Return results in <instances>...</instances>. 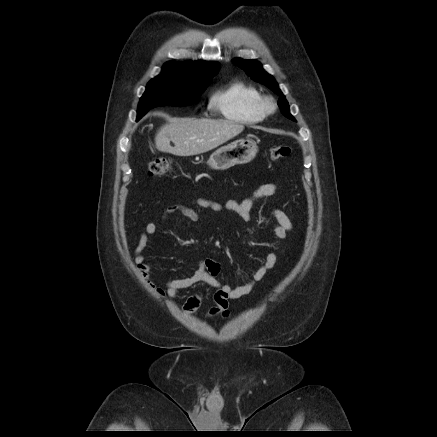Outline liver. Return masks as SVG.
<instances>
[{"label":"liver","mask_w":437,"mask_h":437,"mask_svg":"<svg viewBox=\"0 0 437 437\" xmlns=\"http://www.w3.org/2000/svg\"><path fill=\"white\" fill-rule=\"evenodd\" d=\"M243 130L244 125L229 120L175 118L159 129L155 146L161 152L193 156L224 144Z\"/></svg>","instance_id":"6515ba94"}]
</instances>
